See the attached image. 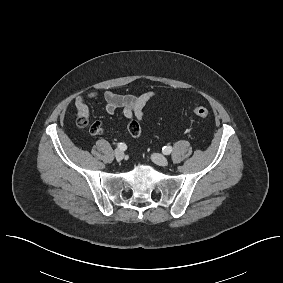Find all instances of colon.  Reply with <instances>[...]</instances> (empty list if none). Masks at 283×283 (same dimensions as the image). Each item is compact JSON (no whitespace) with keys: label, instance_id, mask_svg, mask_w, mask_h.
Instances as JSON below:
<instances>
[{"label":"colon","instance_id":"colon-1","mask_svg":"<svg viewBox=\"0 0 283 283\" xmlns=\"http://www.w3.org/2000/svg\"><path fill=\"white\" fill-rule=\"evenodd\" d=\"M193 113L200 118H207L209 116V110L203 106H195L193 108ZM81 125H85L86 121L84 118L79 119ZM104 131V123L97 121L91 126V133L99 135Z\"/></svg>","mask_w":283,"mask_h":283}]
</instances>
